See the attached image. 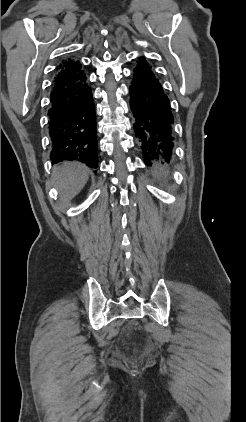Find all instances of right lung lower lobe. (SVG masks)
Returning <instances> with one entry per match:
<instances>
[{
  "label": "right lung lower lobe",
  "mask_w": 246,
  "mask_h": 422,
  "mask_svg": "<svg viewBox=\"0 0 246 422\" xmlns=\"http://www.w3.org/2000/svg\"><path fill=\"white\" fill-rule=\"evenodd\" d=\"M49 133L52 163L80 161L98 167L95 106L84 74L50 94Z\"/></svg>",
  "instance_id": "right-lung-lower-lobe-1"
}]
</instances>
